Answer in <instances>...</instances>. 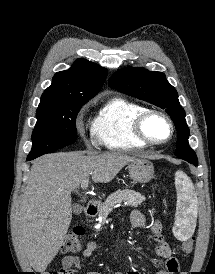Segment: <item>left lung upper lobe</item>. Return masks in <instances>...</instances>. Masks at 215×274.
Wrapping results in <instances>:
<instances>
[{
  "label": "left lung upper lobe",
  "mask_w": 215,
  "mask_h": 274,
  "mask_svg": "<svg viewBox=\"0 0 215 274\" xmlns=\"http://www.w3.org/2000/svg\"><path fill=\"white\" fill-rule=\"evenodd\" d=\"M108 82L113 89L165 109L177 129L175 155L185 161L198 162L188 143L189 128L185 111L179 103L176 89L168 83L164 73L128 67L114 73Z\"/></svg>",
  "instance_id": "5c2ea615"
}]
</instances>
